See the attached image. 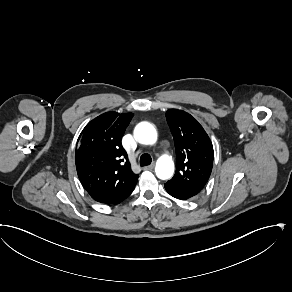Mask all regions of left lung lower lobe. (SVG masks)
Masks as SVG:
<instances>
[{"label":"left lung lower lobe","mask_w":292,"mask_h":292,"mask_svg":"<svg viewBox=\"0 0 292 292\" xmlns=\"http://www.w3.org/2000/svg\"><path fill=\"white\" fill-rule=\"evenodd\" d=\"M166 191L173 197L180 199V200H187L196 196L198 193L190 190L181 189L179 187L170 185L166 183L165 185Z\"/></svg>","instance_id":"left-lung-lower-lobe-1"}]
</instances>
